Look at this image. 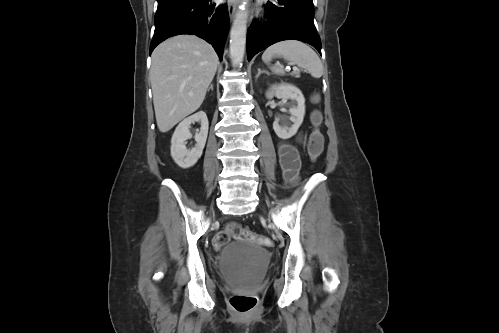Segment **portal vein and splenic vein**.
<instances>
[{
	"instance_id": "obj_1",
	"label": "portal vein and splenic vein",
	"mask_w": 499,
	"mask_h": 333,
	"mask_svg": "<svg viewBox=\"0 0 499 333\" xmlns=\"http://www.w3.org/2000/svg\"><path fill=\"white\" fill-rule=\"evenodd\" d=\"M286 69H287V70H290L291 68H290V66H287V67H286ZM293 69H294V70H298V68H297L296 66H294V67H293Z\"/></svg>"
}]
</instances>
